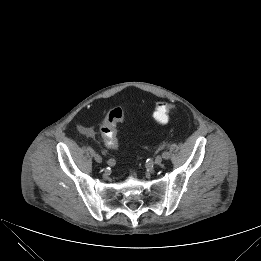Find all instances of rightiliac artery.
<instances>
[{
  "mask_svg": "<svg viewBox=\"0 0 261 261\" xmlns=\"http://www.w3.org/2000/svg\"><path fill=\"white\" fill-rule=\"evenodd\" d=\"M107 164L112 166V165L115 164V160L110 158V159L107 160Z\"/></svg>",
  "mask_w": 261,
  "mask_h": 261,
  "instance_id": "82829eb1",
  "label": "right iliac artery"
}]
</instances>
